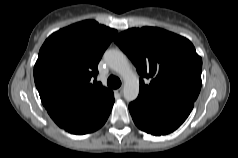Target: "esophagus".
Here are the masks:
<instances>
[{
	"mask_svg": "<svg viewBox=\"0 0 238 158\" xmlns=\"http://www.w3.org/2000/svg\"><path fill=\"white\" fill-rule=\"evenodd\" d=\"M118 93L120 94V95H122L123 94V88L122 87H120V88H118Z\"/></svg>",
	"mask_w": 238,
	"mask_h": 158,
	"instance_id": "1",
	"label": "esophagus"
}]
</instances>
